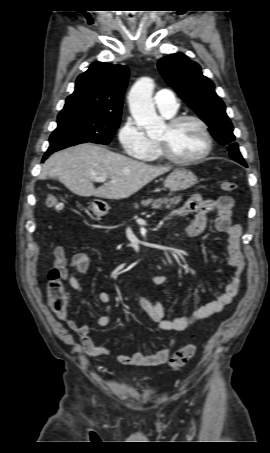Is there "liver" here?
Segmentation results:
<instances>
[{"label":"liver","mask_w":270,"mask_h":453,"mask_svg":"<svg viewBox=\"0 0 270 453\" xmlns=\"http://www.w3.org/2000/svg\"><path fill=\"white\" fill-rule=\"evenodd\" d=\"M170 170V166L149 165L99 145L84 143L51 155L39 179L56 177L78 196L119 200L130 197ZM99 176L109 181L96 189L93 180Z\"/></svg>","instance_id":"liver-1"}]
</instances>
